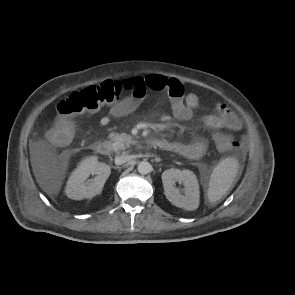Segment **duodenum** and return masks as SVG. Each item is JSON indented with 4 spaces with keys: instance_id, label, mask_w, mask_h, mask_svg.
<instances>
[{
    "instance_id": "obj_1",
    "label": "duodenum",
    "mask_w": 295,
    "mask_h": 295,
    "mask_svg": "<svg viewBox=\"0 0 295 295\" xmlns=\"http://www.w3.org/2000/svg\"><path fill=\"white\" fill-rule=\"evenodd\" d=\"M148 144L152 147L161 148L163 145V142L162 140L157 138H149ZM92 148L97 154L103 155V156L108 155L111 151L110 145L106 141H95L92 144Z\"/></svg>"
}]
</instances>
